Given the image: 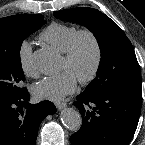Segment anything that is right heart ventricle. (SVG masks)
<instances>
[{"label":"right heart ventricle","mask_w":145,"mask_h":145,"mask_svg":"<svg viewBox=\"0 0 145 145\" xmlns=\"http://www.w3.org/2000/svg\"><path fill=\"white\" fill-rule=\"evenodd\" d=\"M77 31L78 28L73 25L51 23L39 34V39L59 53H64Z\"/></svg>","instance_id":"obj_1"}]
</instances>
